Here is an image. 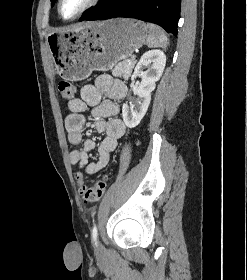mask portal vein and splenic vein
<instances>
[{"mask_svg": "<svg viewBox=\"0 0 247 280\" xmlns=\"http://www.w3.org/2000/svg\"><path fill=\"white\" fill-rule=\"evenodd\" d=\"M135 58H136V55H133V56L131 57L132 60H135Z\"/></svg>", "mask_w": 247, "mask_h": 280, "instance_id": "obj_1", "label": "portal vein and splenic vein"}]
</instances>
